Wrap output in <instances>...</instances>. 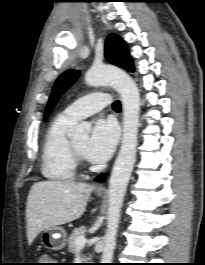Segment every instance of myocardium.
Returning <instances> with one entry per match:
<instances>
[{
	"mask_svg": "<svg viewBox=\"0 0 205 265\" xmlns=\"http://www.w3.org/2000/svg\"><path fill=\"white\" fill-rule=\"evenodd\" d=\"M71 150L76 163L83 162V153L75 146L74 142L71 141Z\"/></svg>",
	"mask_w": 205,
	"mask_h": 265,
	"instance_id": "f54148a6",
	"label": "myocardium"
}]
</instances>
